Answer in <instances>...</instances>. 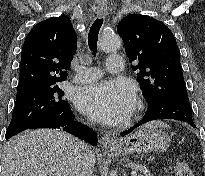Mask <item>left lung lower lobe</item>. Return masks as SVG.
Returning <instances> with one entry per match:
<instances>
[{
	"mask_svg": "<svg viewBox=\"0 0 205 176\" xmlns=\"http://www.w3.org/2000/svg\"><path fill=\"white\" fill-rule=\"evenodd\" d=\"M159 119L180 120L196 127L192 120V108L187 96V90L179 91L174 89L168 95L161 96L148 103V110L143 119L129 130L121 133V136L127 135L149 121Z\"/></svg>",
	"mask_w": 205,
	"mask_h": 176,
	"instance_id": "0a47b994",
	"label": "left lung lower lobe"
}]
</instances>
